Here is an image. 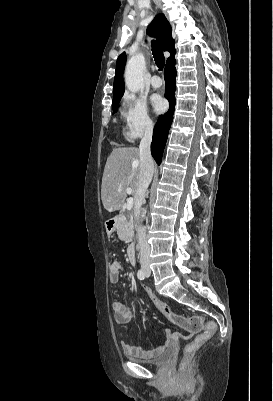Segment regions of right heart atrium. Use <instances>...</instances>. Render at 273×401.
Listing matches in <instances>:
<instances>
[{
    "instance_id": "d8ad5b80",
    "label": "right heart atrium",
    "mask_w": 273,
    "mask_h": 401,
    "mask_svg": "<svg viewBox=\"0 0 273 401\" xmlns=\"http://www.w3.org/2000/svg\"><path fill=\"white\" fill-rule=\"evenodd\" d=\"M122 115L125 121L124 135L129 141L149 135L155 128V121L149 116L145 102L135 96L125 97Z\"/></svg>"
}]
</instances>
